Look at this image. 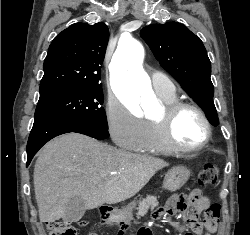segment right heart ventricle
<instances>
[{
	"label": "right heart ventricle",
	"mask_w": 250,
	"mask_h": 235,
	"mask_svg": "<svg viewBox=\"0 0 250 235\" xmlns=\"http://www.w3.org/2000/svg\"><path fill=\"white\" fill-rule=\"evenodd\" d=\"M158 97L165 103L171 104L176 101L175 94L170 96L158 95ZM144 153H169L172 152L163 141L158 125L153 121L146 122V138L138 150Z\"/></svg>",
	"instance_id": "right-heart-ventricle-1"
}]
</instances>
